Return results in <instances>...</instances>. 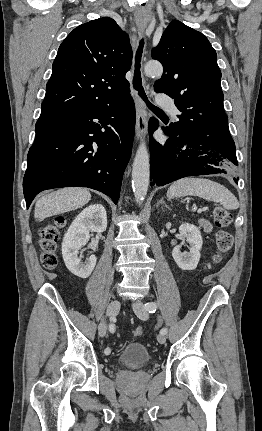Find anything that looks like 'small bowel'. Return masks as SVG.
<instances>
[{
  "instance_id": "small-bowel-1",
  "label": "small bowel",
  "mask_w": 262,
  "mask_h": 431,
  "mask_svg": "<svg viewBox=\"0 0 262 431\" xmlns=\"http://www.w3.org/2000/svg\"><path fill=\"white\" fill-rule=\"evenodd\" d=\"M199 223H200V226L206 231V232H210L211 230H212V228H213V226H212V223L209 221V220H207V219H201L200 221H199Z\"/></svg>"
}]
</instances>
